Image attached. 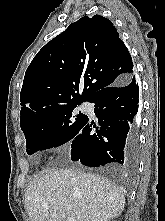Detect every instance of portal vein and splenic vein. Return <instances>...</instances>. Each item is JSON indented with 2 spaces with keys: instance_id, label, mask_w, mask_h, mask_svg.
<instances>
[{
  "instance_id": "18ae733b",
  "label": "portal vein and splenic vein",
  "mask_w": 165,
  "mask_h": 221,
  "mask_svg": "<svg viewBox=\"0 0 165 221\" xmlns=\"http://www.w3.org/2000/svg\"><path fill=\"white\" fill-rule=\"evenodd\" d=\"M50 216L53 218V219H55V218H57V215H56V213H54V212H51L50 213ZM67 221H75L73 218H67Z\"/></svg>"
}]
</instances>
